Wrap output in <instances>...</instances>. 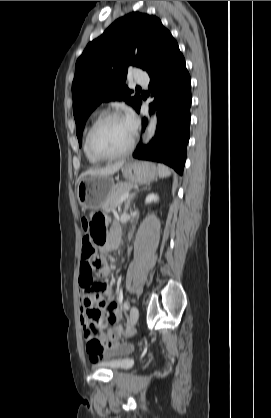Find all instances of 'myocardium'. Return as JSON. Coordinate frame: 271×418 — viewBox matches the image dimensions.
I'll return each instance as SVG.
<instances>
[{"label":"myocardium","instance_id":"1","mask_svg":"<svg viewBox=\"0 0 271 418\" xmlns=\"http://www.w3.org/2000/svg\"><path fill=\"white\" fill-rule=\"evenodd\" d=\"M116 118H123L122 114L119 112H115V111H111V112H106L104 114H102L89 128L87 135H86V145L87 148L89 150V152L96 158L100 159V160H111V159H117V158H121L124 157L126 155H128L132 149L134 148L135 145V140H136V135L135 133H133L132 138L128 144V146L123 149L120 152L117 153H113V154H104L101 153L99 151H97L93 144H92V136L94 131L96 130V128L102 124L103 122L109 120V119H116Z\"/></svg>","mask_w":271,"mask_h":418}]
</instances>
